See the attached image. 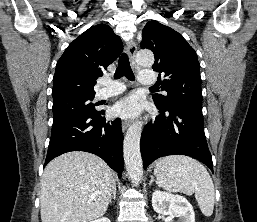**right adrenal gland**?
Returning <instances> with one entry per match:
<instances>
[{
	"label": "right adrenal gland",
	"mask_w": 257,
	"mask_h": 222,
	"mask_svg": "<svg viewBox=\"0 0 257 222\" xmlns=\"http://www.w3.org/2000/svg\"><path fill=\"white\" fill-rule=\"evenodd\" d=\"M112 198L115 199L116 198V188L114 189L113 193H112V196L110 198V203L112 202Z\"/></svg>",
	"instance_id": "right-adrenal-gland-1"
}]
</instances>
